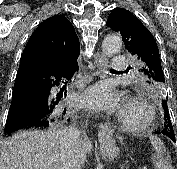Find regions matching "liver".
<instances>
[{
  "instance_id": "obj_1",
  "label": "liver",
  "mask_w": 177,
  "mask_h": 169,
  "mask_svg": "<svg viewBox=\"0 0 177 169\" xmlns=\"http://www.w3.org/2000/svg\"><path fill=\"white\" fill-rule=\"evenodd\" d=\"M60 128L24 131L6 140L0 150V169H60ZM92 148L80 141L79 160L84 164Z\"/></svg>"
}]
</instances>
